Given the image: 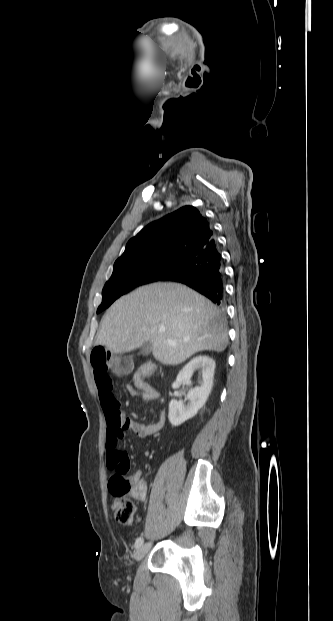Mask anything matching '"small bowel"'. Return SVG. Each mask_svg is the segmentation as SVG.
<instances>
[{
	"mask_svg": "<svg viewBox=\"0 0 333 621\" xmlns=\"http://www.w3.org/2000/svg\"><path fill=\"white\" fill-rule=\"evenodd\" d=\"M90 361L107 424V466L111 470L116 467L129 469V458L127 453L119 448L120 441L124 439L127 431H131L138 438H146L158 432L165 424V413L163 411L160 412L158 420L151 424L137 422L125 417L113 393V381L109 371H122L126 362L103 347H95L92 350ZM127 388L131 395L137 396L144 401L160 399L158 391L144 379H134L133 385H128ZM131 479L141 487V492L134 494L133 497L138 500H144L147 493V485L141 476V472L136 471L131 476Z\"/></svg>",
	"mask_w": 333,
	"mask_h": 621,
	"instance_id": "small-bowel-1",
	"label": "small bowel"
}]
</instances>
